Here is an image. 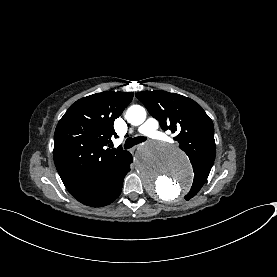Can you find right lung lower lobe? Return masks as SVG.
<instances>
[{
  "label": "right lung lower lobe",
  "mask_w": 277,
  "mask_h": 277,
  "mask_svg": "<svg viewBox=\"0 0 277 277\" xmlns=\"http://www.w3.org/2000/svg\"><path fill=\"white\" fill-rule=\"evenodd\" d=\"M131 163L132 155L127 152L99 179L88 184L81 192L73 196L79 202L92 207H101L112 203L122 191L123 179L130 171Z\"/></svg>",
  "instance_id": "98d812e1"
}]
</instances>
